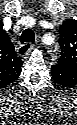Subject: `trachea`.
Instances as JSON below:
<instances>
[{"label":"trachea","instance_id":"3493384b","mask_svg":"<svg viewBox=\"0 0 77 125\" xmlns=\"http://www.w3.org/2000/svg\"><path fill=\"white\" fill-rule=\"evenodd\" d=\"M35 39V34L31 29H25L23 33L20 36V42L26 43V42H33Z\"/></svg>","mask_w":77,"mask_h":125}]
</instances>
